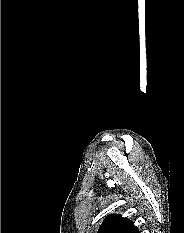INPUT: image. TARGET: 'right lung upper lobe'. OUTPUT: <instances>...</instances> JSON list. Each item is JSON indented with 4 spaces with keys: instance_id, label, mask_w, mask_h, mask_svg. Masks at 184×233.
Instances as JSON below:
<instances>
[{
    "instance_id": "obj_1",
    "label": "right lung upper lobe",
    "mask_w": 184,
    "mask_h": 233,
    "mask_svg": "<svg viewBox=\"0 0 184 233\" xmlns=\"http://www.w3.org/2000/svg\"><path fill=\"white\" fill-rule=\"evenodd\" d=\"M98 233H138V228L120 214H111L101 224Z\"/></svg>"
}]
</instances>
